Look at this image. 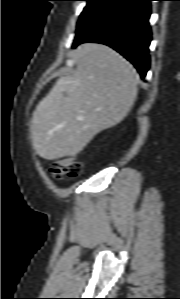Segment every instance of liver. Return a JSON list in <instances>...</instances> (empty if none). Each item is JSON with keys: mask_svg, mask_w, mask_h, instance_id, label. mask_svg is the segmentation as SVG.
<instances>
[{"mask_svg": "<svg viewBox=\"0 0 180 299\" xmlns=\"http://www.w3.org/2000/svg\"><path fill=\"white\" fill-rule=\"evenodd\" d=\"M77 60L74 73L60 77L32 114V145L47 160L80 153L96 134L120 123L137 97L138 74L113 49L83 44Z\"/></svg>", "mask_w": 180, "mask_h": 299, "instance_id": "obj_1", "label": "liver"}]
</instances>
